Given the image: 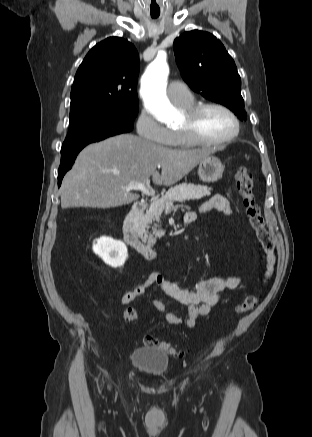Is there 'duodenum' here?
I'll list each match as a JSON object with an SVG mask.
<instances>
[{"mask_svg":"<svg viewBox=\"0 0 312 437\" xmlns=\"http://www.w3.org/2000/svg\"><path fill=\"white\" fill-rule=\"evenodd\" d=\"M148 202L138 200L134 202L131 210L123 222V238L125 242L148 260H157L159 251L149 242L143 241L138 234V224L142 213L147 208Z\"/></svg>","mask_w":312,"mask_h":437,"instance_id":"obj_1","label":"duodenum"}]
</instances>
